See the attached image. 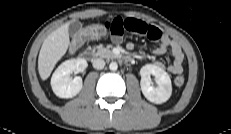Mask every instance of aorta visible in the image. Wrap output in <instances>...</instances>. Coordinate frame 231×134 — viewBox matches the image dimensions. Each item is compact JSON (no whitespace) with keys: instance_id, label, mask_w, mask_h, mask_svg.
Returning <instances> with one entry per match:
<instances>
[{"instance_id":"762f6f07","label":"aorta","mask_w":231,"mask_h":134,"mask_svg":"<svg viewBox=\"0 0 231 134\" xmlns=\"http://www.w3.org/2000/svg\"><path fill=\"white\" fill-rule=\"evenodd\" d=\"M117 68H118V65H117L116 62H111V63L109 64V69H110V70L116 71Z\"/></svg>"}]
</instances>
